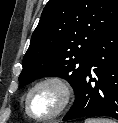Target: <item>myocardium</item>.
I'll return each mask as SVG.
<instances>
[{
  "mask_svg": "<svg viewBox=\"0 0 118 123\" xmlns=\"http://www.w3.org/2000/svg\"><path fill=\"white\" fill-rule=\"evenodd\" d=\"M46 85H53L61 92V102L58 108L50 115L39 117L34 115L30 109V98L34 91ZM73 96V91L70 83L61 76L51 75L44 77L34 83L26 93L25 96V111L29 117L37 121H49L60 116L69 106Z\"/></svg>",
  "mask_w": 118,
  "mask_h": 123,
  "instance_id": "myocardium-1",
  "label": "myocardium"
}]
</instances>
